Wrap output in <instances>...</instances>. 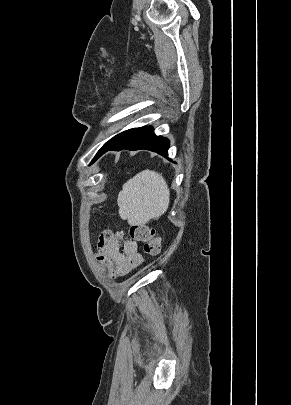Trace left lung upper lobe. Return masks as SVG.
I'll use <instances>...</instances> for the list:
<instances>
[{
    "label": "left lung upper lobe",
    "instance_id": "5c2ea615",
    "mask_svg": "<svg viewBox=\"0 0 291 405\" xmlns=\"http://www.w3.org/2000/svg\"><path fill=\"white\" fill-rule=\"evenodd\" d=\"M123 133H124V132H122V133H120V134L114 136L112 139H110L108 142H106L102 148H104V147H106V146H108V145L114 143ZM102 148H101V149H102Z\"/></svg>",
    "mask_w": 291,
    "mask_h": 405
}]
</instances>
